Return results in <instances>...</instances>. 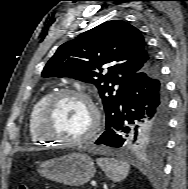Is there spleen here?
<instances>
[{"label":"spleen","instance_id":"obj_1","mask_svg":"<svg viewBox=\"0 0 188 189\" xmlns=\"http://www.w3.org/2000/svg\"><path fill=\"white\" fill-rule=\"evenodd\" d=\"M96 161L108 178L114 182H121L129 174L130 166L125 162L114 158H98Z\"/></svg>","mask_w":188,"mask_h":189}]
</instances>
